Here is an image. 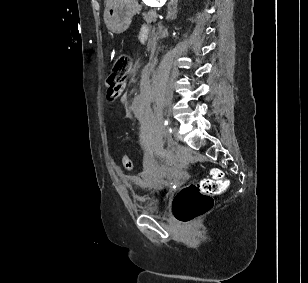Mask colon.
I'll return each instance as SVG.
<instances>
[{
  "mask_svg": "<svg viewBox=\"0 0 308 283\" xmlns=\"http://www.w3.org/2000/svg\"><path fill=\"white\" fill-rule=\"evenodd\" d=\"M132 66L131 57L125 53L116 54L112 59L111 73L107 82L112 86L125 83ZM122 164L126 169H132L133 163L129 156L122 157ZM228 188V181L219 169L211 170V177L196 184L182 188L173 200V213L177 220L189 223L208 212L214 204V197L224 193Z\"/></svg>",
  "mask_w": 308,
  "mask_h": 283,
  "instance_id": "obj_1",
  "label": "colon"
}]
</instances>
